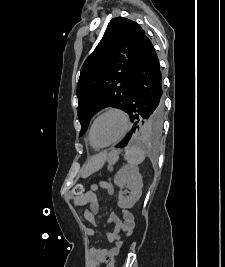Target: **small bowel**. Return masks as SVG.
Masks as SVG:
<instances>
[{"mask_svg": "<svg viewBox=\"0 0 225 267\" xmlns=\"http://www.w3.org/2000/svg\"><path fill=\"white\" fill-rule=\"evenodd\" d=\"M100 186L109 194L114 192L113 185L108 181L101 182ZM97 189L98 185L94 184L92 185L91 190L83 197H70L75 206L84 208V218L93 226H97L95 214L99 210V201L96 196ZM108 222L115 226L113 232L107 233V242L110 247H91L89 250L90 267H101L109 259L116 256L123 244L121 235L130 236L134 230V218L127 209H122L121 217L116 213H112L108 218ZM85 231L88 236L95 235L93 228L87 227Z\"/></svg>", "mask_w": 225, "mask_h": 267, "instance_id": "1", "label": "small bowel"}]
</instances>
